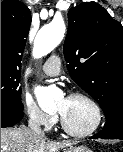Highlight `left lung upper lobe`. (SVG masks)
I'll return each instance as SVG.
<instances>
[{
    "label": "left lung upper lobe",
    "instance_id": "obj_1",
    "mask_svg": "<svg viewBox=\"0 0 123 152\" xmlns=\"http://www.w3.org/2000/svg\"><path fill=\"white\" fill-rule=\"evenodd\" d=\"M68 20L63 51L70 76L108 117L123 108V27L96 2L71 8Z\"/></svg>",
    "mask_w": 123,
    "mask_h": 152
}]
</instances>
